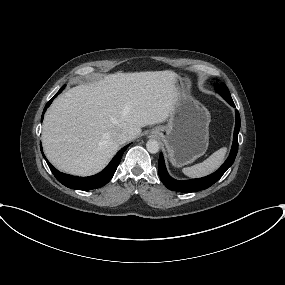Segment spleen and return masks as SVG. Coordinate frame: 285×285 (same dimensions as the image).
Returning <instances> with one entry per match:
<instances>
[{
    "label": "spleen",
    "mask_w": 285,
    "mask_h": 285,
    "mask_svg": "<svg viewBox=\"0 0 285 285\" xmlns=\"http://www.w3.org/2000/svg\"><path fill=\"white\" fill-rule=\"evenodd\" d=\"M226 152V147L220 148L202 163L193 165L191 167H185L182 169V171L186 176L191 178L206 176L220 167L224 161Z\"/></svg>",
    "instance_id": "3e777b00"
}]
</instances>
